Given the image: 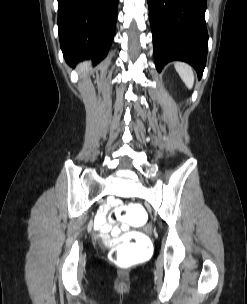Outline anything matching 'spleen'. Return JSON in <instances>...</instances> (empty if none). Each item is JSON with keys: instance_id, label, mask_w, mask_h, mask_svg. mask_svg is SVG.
Segmentation results:
<instances>
[{"instance_id": "obj_1", "label": "spleen", "mask_w": 247, "mask_h": 304, "mask_svg": "<svg viewBox=\"0 0 247 304\" xmlns=\"http://www.w3.org/2000/svg\"><path fill=\"white\" fill-rule=\"evenodd\" d=\"M174 67L187 88L192 89L194 84V73L192 67L187 63L179 61L175 62Z\"/></svg>"}]
</instances>
